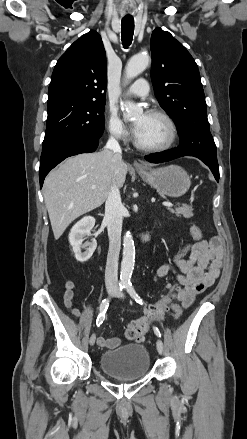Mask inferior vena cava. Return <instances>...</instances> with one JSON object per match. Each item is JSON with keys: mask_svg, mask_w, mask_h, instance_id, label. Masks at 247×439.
<instances>
[{"mask_svg": "<svg viewBox=\"0 0 247 439\" xmlns=\"http://www.w3.org/2000/svg\"><path fill=\"white\" fill-rule=\"evenodd\" d=\"M106 149L113 151L114 161L122 159V151L118 141L110 137L105 146ZM113 173V167H112ZM123 205L121 202L120 191L113 182L105 204L104 220L107 224L109 236V251L105 269V285L108 289L118 288V259L121 248Z\"/></svg>", "mask_w": 247, "mask_h": 439, "instance_id": "obj_1", "label": "inferior vena cava"}]
</instances>
